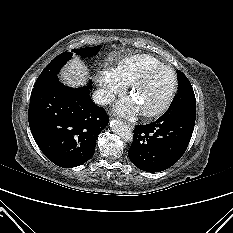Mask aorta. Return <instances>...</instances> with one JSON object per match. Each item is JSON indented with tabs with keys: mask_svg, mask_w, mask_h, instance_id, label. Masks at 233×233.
I'll use <instances>...</instances> for the list:
<instances>
[{
	"mask_svg": "<svg viewBox=\"0 0 233 233\" xmlns=\"http://www.w3.org/2000/svg\"><path fill=\"white\" fill-rule=\"evenodd\" d=\"M110 127L112 131L120 136L124 141L126 142H132L133 141V132L131 129L125 125L120 120H113L110 122Z\"/></svg>",
	"mask_w": 233,
	"mask_h": 233,
	"instance_id": "aorta-1",
	"label": "aorta"
}]
</instances>
